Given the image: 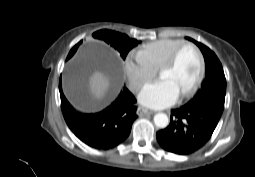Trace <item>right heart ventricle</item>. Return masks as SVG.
Wrapping results in <instances>:
<instances>
[{
	"label": "right heart ventricle",
	"instance_id": "1",
	"mask_svg": "<svg viewBox=\"0 0 255 177\" xmlns=\"http://www.w3.org/2000/svg\"><path fill=\"white\" fill-rule=\"evenodd\" d=\"M183 42L181 39H161L145 44L139 52L155 69H158Z\"/></svg>",
	"mask_w": 255,
	"mask_h": 177
}]
</instances>
